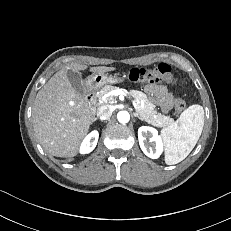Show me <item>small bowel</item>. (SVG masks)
<instances>
[{
	"mask_svg": "<svg viewBox=\"0 0 231 231\" xmlns=\"http://www.w3.org/2000/svg\"><path fill=\"white\" fill-rule=\"evenodd\" d=\"M145 92L162 111L168 112L171 110L174 103V96L166 85L150 83L146 85Z\"/></svg>",
	"mask_w": 231,
	"mask_h": 231,
	"instance_id": "c3829d8e",
	"label": "small bowel"
}]
</instances>
